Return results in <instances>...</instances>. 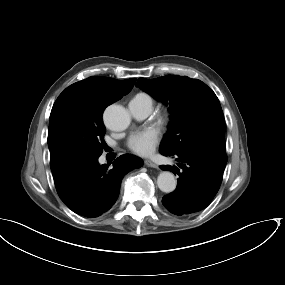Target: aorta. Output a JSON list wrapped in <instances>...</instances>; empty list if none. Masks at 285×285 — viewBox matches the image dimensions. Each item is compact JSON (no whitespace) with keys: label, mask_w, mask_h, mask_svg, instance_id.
Masks as SVG:
<instances>
[{"label":"aorta","mask_w":285,"mask_h":285,"mask_svg":"<svg viewBox=\"0 0 285 285\" xmlns=\"http://www.w3.org/2000/svg\"><path fill=\"white\" fill-rule=\"evenodd\" d=\"M131 118L128 111L121 105H110L104 112V122L114 131H123L130 124ZM157 185L162 192L171 193L175 190L177 181L173 173L163 171L157 178Z\"/></svg>","instance_id":"1"}]
</instances>
